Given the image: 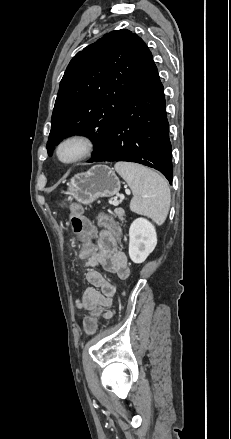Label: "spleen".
Listing matches in <instances>:
<instances>
[{
  "mask_svg": "<svg viewBox=\"0 0 231 439\" xmlns=\"http://www.w3.org/2000/svg\"><path fill=\"white\" fill-rule=\"evenodd\" d=\"M115 170L132 190L131 211L150 217L158 225L163 224L171 199L167 181L151 169L134 163H116Z\"/></svg>",
  "mask_w": 231,
  "mask_h": 439,
  "instance_id": "3e777b00",
  "label": "spleen"
}]
</instances>
